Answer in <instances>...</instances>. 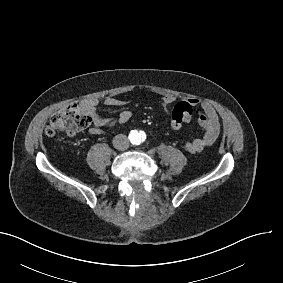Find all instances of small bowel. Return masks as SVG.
<instances>
[{
	"label": "small bowel",
	"instance_id": "c3829d8e",
	"mask_svg": "<svg viewBox=\"0 0 283 283\" xmlns=\"http://www.w3.org/2000/svg\"><path fill=\"white\" fill-rule=\"evenodd\" d=\"M175 101V97L172 95H167L162 99L161 103L167 110H170V112H172L176 105L184 101H189L193 103L195 107L199 108V110L196 112V116L203 133L201 136L189 141L186 144V149L190 153H199L206 147L211 146L221 132V124L214 107L208 102L202 101L195 97L182 99L177 102L174 107H172ZM102 102L104 105L109 107H123L128 104V101L114 97H106ZM99 103L100 100L98 98L90 97L84 99L80 104L82 111L91 117L92 127L89 129V133L92 135L101 134L103 127H111L115 124L127 123L132 117V113L129 110H124L116 119H105L97 113V106Z\"/></svg>",
	"mask_w": 283,
	"mask_h": 283
}]
</instances>
